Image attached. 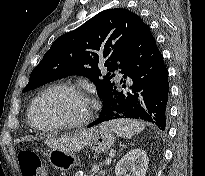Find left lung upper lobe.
Here are the masks:
<instances>
[{"mask_svg":"<svg viewBox=\"0 0 205 176\" xmlns=\"http://www.w3.org/2000/svg\"><path fill=\"white\" fill-rule=\"evenodd\" d=\"M146 24L135 13L122 8L105 10L82 26L57 38L33 69L23 92L57 78L82 75L90 78L103 99L112 90L114 72L138 40ZM99 62L109 73L103 78Z\"/></svg>","mask_w":205,"mask_h":176,"instance_id":"5c2ea615","label":"left lung upper lobe"}]
</instances>
